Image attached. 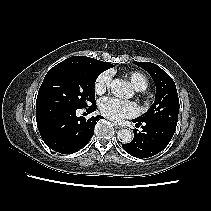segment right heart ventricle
Wrapping results in <instances>:
<instances>
[{
	"instance_id": "obj_1",
	"label": "right heart ventricle",
	"mask_w": 211,
	"mask_h": 211,
	"mask_svg": "<svg viewBox=\"0 0 211 211\" xmlns=\"http://www.w3.org/2000/svg\"><path fill=\"white\" fill-rule=\"evenodd\" d=\"M128 77L136 90L144 91L147 89L148 79L142 72L132 71L128 73Z\"/></svg>"
}]
</instances>
